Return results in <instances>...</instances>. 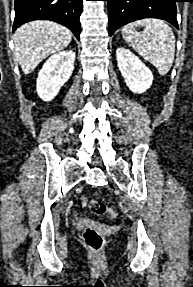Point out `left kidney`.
Wrapping results in <instances>:
<instances>
[{
  "instance_id": "5707ae66",
  "label": "left kidney",
  "mask_w": 193,
  "mask_h": 287,
  "mask_svg": "<svg viewBox=\"0 0 193 287\" xmlns=\"http://www.w3.org/2000/svg\"><path fill=\"white\" fill-rule=\"evenodd\" d=\"M119 70L129 89L134 93H144L153 82L150 69L131 51L120 47L116 50Z\"/></svg>"
}]
</instances>
